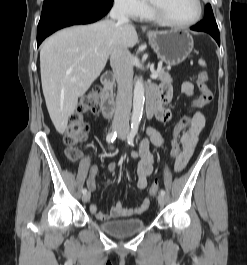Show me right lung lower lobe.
<instances>
[{
    "label": "right lung lower lobe",
    "instance_id": "obj_1",
    "mask_svg": "<svg viewBox=\"0 0 247 265\" xmlns=\"http://www.w3.org/2000/svg\"><path fill=\"white\" fill-rule=\"evenodd\" d=\"M112 4L113 0H44L37 28V46L61 28L97 21Z\"/></svg>",
    "mask_w": 247,
    "mask_h": 265
}]
</instances>
